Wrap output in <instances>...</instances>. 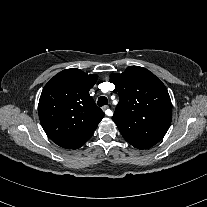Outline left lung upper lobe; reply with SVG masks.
<instances>
[{
	"label": "left lung upper lobe",
	"instance_id": "1",
	"mask_svg": "<svg viewBox=\"0 0 207 207\" xmlns=\"http://www.w3.org/2000/svg\"><path fill=\"white\" fill-rule=\"evenodd\" d=\"M119 92L113 115L124 139L139 149L157 144L169 129L172 105L164 84L149 70L130 66L121 74H111Z\"/></svg>",
	"mask_w": 207,
	"mask_h": 207
}]
</instances>
